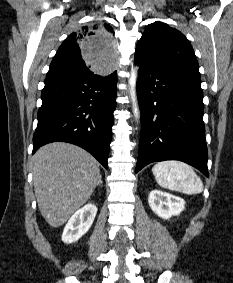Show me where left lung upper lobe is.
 Masks as SVG:
<instances>
[{
    "label": "left lung upper lobe",
    "mask_w": 233,
    "mask_h": 283,
    "mask_svg": "<svg viewBox=\"0 0 233 283\" xmlns=\"http://www.w3.org/2000/svg\"><path fill=\"white\" fill-rule=\"evenodd\" d=\"M135 57L154 64H184L198 68L193 48L187 38L162 22L147 26L136 46Z\"/></svg>",
    "instance_id": "left-lung-upper-lobe-1"
}]
</instances>
